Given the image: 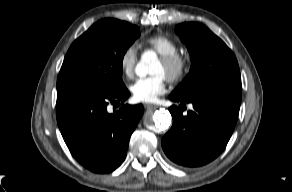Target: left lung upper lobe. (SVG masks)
I'll return each instance as SVG.
<instances>
[{"mask_svg":"<svg viewBox=\"0 0 292 192\" xmlns=\"http://www.w3.org/2000/svg\"><path fill=\"white\" fill-rule=\"evenodd\" d=\"M175 32L186 44L192 65L171 95L182 99L213 93L241 95L238 62L220 38L200 23L179 24Z\"/></svg>","mask_w":292,"mask_h":192,"instance_id":"left-lung-upper-lobe-1","label":"left lung upper lobe"}]
</instances>
